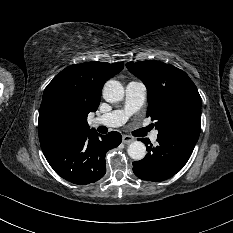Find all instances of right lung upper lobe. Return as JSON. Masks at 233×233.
<instances>
[{"label":"right lung upper lobe","instance_id":"cb5924a9","mask_svg":"<svg viewBox=\"0 0 233 233\" xmlns=\"http://www.w3.org/2000/svg\"><path fill=\"white\" fill-rule=\"evenodd\" d=\"M123 63L87 62L71 65L48 84L39 110V138L89 129L87 115L96 111L104 82L118 74Z\"/></svg>","mask_w":233,"mask_h":233}]
</instances>
